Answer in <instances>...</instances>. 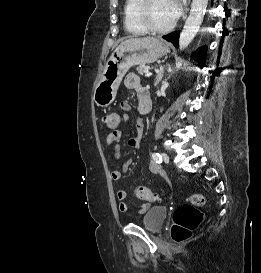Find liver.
Returning a JSON list of instances; mask_svg holds the SVG:
<instances>
[{
    "label": "liver",
    "instance_id": "1",
    "mask_svg": "<svg viewBox=\"0 0 261 273\" xmlns=\"http://www.w3.org/2000/svg\"><path fill=\"white\" fill-rule=\"evenodd\" d=\"M130 40H132V39L126 40L125 42L130 41Z\"/></svg>",
    "mask_w": 261,
    "mask_h": 273
}]
</instances>
